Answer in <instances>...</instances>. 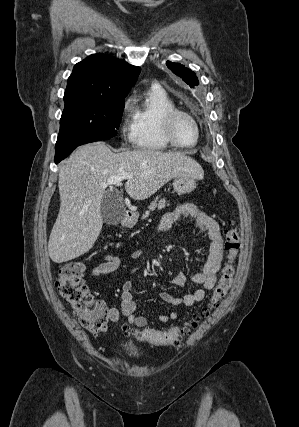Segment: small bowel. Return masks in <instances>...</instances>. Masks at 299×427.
Returning a JSON list of instances; mask_svg holds the SVG:
<instances>
[{
  "instance_id": "small-bowel-1",
  "label": "small bowel",
  "mask_w": 299,
  "mask_h": 427,
  "mask_svg": "<svg viewBox=\"0 0 299 427\" xmlns=\"http://www.w3.org/2000/svg\"><path fill=\"white\" fill-rule=\"evenodd\" d=\"M191 223L202 234L210 240V249L207 259L204 262L200 273L194 275L191 280L201 286L200 289L185 295L177 297L170 292H161L160 297L171 306L191 307L201 302L205 298L206 291L212 290L216 284L218 273L222 267L224 260V246L218 223L201 211L196 205L186 203L178 206L171 212H168L160 223V231L166 232L177 222ZM141 252H135L133 258L136 260L140 257ZM120 267V260L112 255L107 256L106 262L95 267L92 275L98 276L102 274L113 273ZM133 271V269H132ZM187 278L184 274L179 273L173 278V282L177 285H184ZM132 281H126L121 288V313L116 308H108V319L116 323L120 320V316H124L127 321L136 326L144 327L148 323V319L138 315L137 305L133 300L131 289ZM179 312L174 310L169 314H160L156 317L157 321L165 323L170 320L179 318Z\"/></svg>"
}]
</instances>
